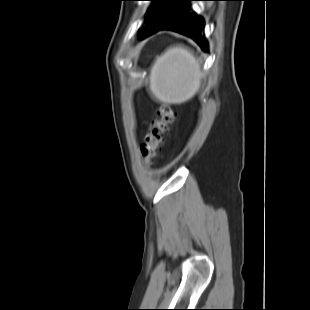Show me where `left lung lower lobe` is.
<instances>
[{
    "instance_id": "1",
    "label": "left lung lower lobe",
    "mask_w": 310,
    "mask_h": 310,
    "mask_svg": "<svg viewBox=\"0 0 310 310\" xmlns=\"http://www.w3.org/2000/svg\"><path fill=\"white\" fill-rule=\"evenodd\" d=\"M203 26V20L200 17L190 13L189 7L186 6V8L181 13H179L169 25L159 30H173L181 34L187 35L193 38L204 51H207V43L202 36Z\"/></svg>"
}]
</instances>
